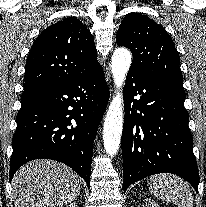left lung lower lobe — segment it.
<instances>
[{
    "mask_svg": "<svg viewBox=\"0 0 206 207\" xmlns=\"http://www.w3.org/2000/svg\"><path fill=\"white\" fill-rule=\"evenodd\" d=\"M124 192L156 173H173L198 192L199 174L181 85L128 72L123 90Z\"/></svg>",
    "mask_w": 206,
    "mask_h": 207,
    "instance_id": "obj_1",
    "label": "left lung lower lobe"
}]
</instances>
